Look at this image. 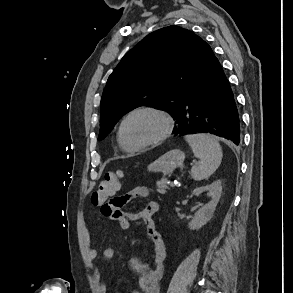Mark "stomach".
<instances>
[{"label": "stomach", "instance_id": "0dacf381", "mask_svg": "<svg viewBox=\"0 0 293 293\" xmlns=\"http://www.w3.org/2000/svg\"><path fill=\"white\" fill-rule=\"evenodd\" d=\"M184 159L185 154L181 150L173 149L149 164L148 170L168 175L171 174L176 168L182 166Z\"/></svg>", "mask_w": 293, "mask_h": 293}]
</instances>
